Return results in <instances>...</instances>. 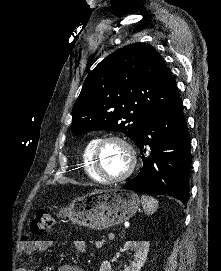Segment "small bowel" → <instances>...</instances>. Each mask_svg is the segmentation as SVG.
<instances>
[{
	"mask_svg": "<svg viewBox=\"0 0 221 271\" xmlns=\"http://www.w3.org/2000/svg\"><path fill=\"white\" fill-rule=\"evenodd\" d=\"M73 246L78 253H85L87 246L83 240H74ZM20 251L24 253H32L36 250L39 251H49L54 249V242L47 239H25L21 242ZM19 271H25L24 269H19ZM58 271H83L78 265L73 264H63L58 268Z\"/></svg>",
	"mask_w": 221,
	"mask_h": 271,
	"instance_id": "c3829d8e",
	"label": "small bowel"
}]
</instances>
